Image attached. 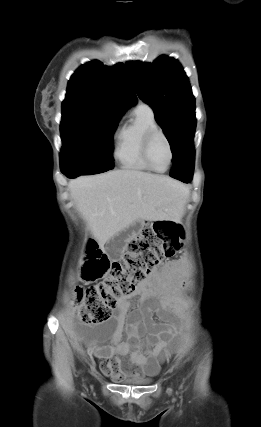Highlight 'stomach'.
Instances as JSON below:
<instances>
[{"mask_svg":"<svg viewBox=\"0 0 261 427\" xmlns=\"http://www.w3.org/2000/svg\"><path fill=\"white\" fill-rule=\"evenodd\" d=\"M136 232V229H132V233H135Z\"/></svg>","mask_w":261,"mask_h":427,"instance_id":"obj_1","label":"stomach"}]
</instances>
